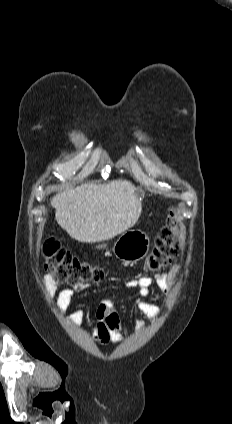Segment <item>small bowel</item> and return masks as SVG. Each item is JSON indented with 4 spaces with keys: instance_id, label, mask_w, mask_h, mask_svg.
Segmentation results:
<instances>
[{
    "instance_id": "obj_1",
    "label": "small bowel",
    "mask_w": 232,
    "mask_h": 424,
    "mask_svg": "<svg viewBox=\"0 0 232 424\" xmlns=\"http://www.w3.org/2000/svg\"><path fill=\"white\" fill-rule=\"evenodd\" d=\"M181 271L180 264H174L168 273H156L153 277H140L129 281L130 287L137 288L140 298L136 301V308L139 314L148 319H157L160 316V309L147 301L145 298L151 293V286L156 285L164 295H168L175 284ZM49 291L55 292L57 285L49 282ZM89 288L88 284H82L74 288H64L58 292L57 304L61 312L66 311L71 305L72 298L76 293L83 292ZM83 309H77L69 315L72 323L78 324L84 318ZM93 338L102 345L117 343L121 340V324L117 310L110 304H102L95 313V325L92 331Z\"/></svg>"
}]
</instances>
